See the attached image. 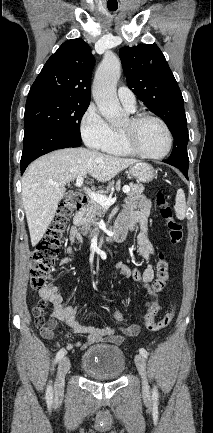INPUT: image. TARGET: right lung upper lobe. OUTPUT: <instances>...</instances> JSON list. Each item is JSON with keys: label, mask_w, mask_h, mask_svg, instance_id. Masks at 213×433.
<instances>
[{"label": "right lung upper lobe", "mask_w": 213, "mask_h": 433, "mask_svg": "<svg viewBox=\"0 0 213 433\" xmlns=\"http://www.w3.org/2000/svg\"><path fill=\"white\" fill-rule=\"evenodd\" d=\"M94 64L91 48L82 39L64 42L42 68L28 98L46 96L90 102Z\"/></svg>", "instance_id": "cb5924a9"}]
</instances>
